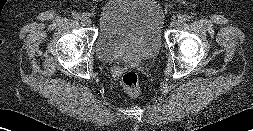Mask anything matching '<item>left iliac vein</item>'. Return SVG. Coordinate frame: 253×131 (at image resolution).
I'll use <instances>...</instances> for the list:
<instances>
[{
  "label": "left iliac vein",
  "instance_id": "1",
  "mask_svg": "<svg viewBox=\"0 0 253 131\" xmlns=\"http://www.w3.org/2000/svg\"><path fill=\"white\" fill-rule=\"evenodd\" d=\"M180 24V20L179 19H173L171 22V27L175 28Z\"/></svg>",
  "mask_w": 253,
  "mask_h": 131
}]
</instances>
